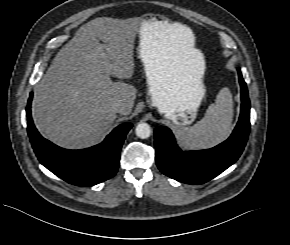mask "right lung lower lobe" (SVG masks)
Listing matches in <instances>:
<instances>
[{
  "mask_svg": "<svg viewBox=\"0 0 290 245\" xmlns=\"http://www.w3.org/2000/svg\"><path fill=\"white\" fill-rule=\"evenodd\" d=\"M30 93L26 114L27 132L40 163L59 178L77 186H93L113 177L119 166L120 150L131 123L116 127L106 139L93 147L82 150H67L43 138L34 126L31 117Z\"/></svg>",
  "mask_w": 290,
  "mask_h": 245,
  "instance_id": "obj_1",
  "label": "right lung lower lobe"
}]
</instances>
